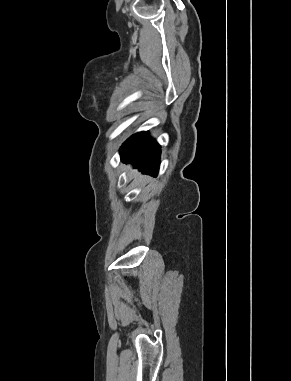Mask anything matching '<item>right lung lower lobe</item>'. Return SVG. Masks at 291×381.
Returning <instances> with one entry per match:
<instances>
[{"mask_svg":"<svg viewBox=\"0 0 291 381\" xmlns=\"http://www.w3.org/2000/svg\"><path fill=\"white\" fill-rule=\"evenodd\" d=\"M121 160L132 162L143 173L157 176L159 170L160 145L148 132L131 136L120 149Z\"/></svg>","mask_w":291,"mask_h":381,"instance_id":"obj_1","label":"right lung lower lobe"}]
</instances>
